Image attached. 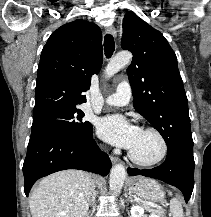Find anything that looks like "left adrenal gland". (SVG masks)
<instances>
[{
	"instance_id": "left-adrenal-gland-1",
	"label": "left adrenal gland",
	"mask_w": 211,
	"mask_h": 217,
	"mask_svg": "<svg viewBox=\"0 0 211 217\" xmlns=\"http://www.w3.org/2000/svg\"><path fill=\"white\" fill-rule=\"evenodd\" d=\"M128 195L129 196H128L127 200H129L130 202H135V200L132 198V194L130 191H129Z\"/></svg>"
}]
</instances>
